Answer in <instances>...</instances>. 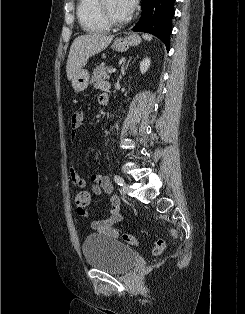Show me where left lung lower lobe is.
Here are the masks:
<instances>
[{"mask_svg":"<svg viewBox=\"0 0 245 314\" xmlns=\"http://www.w3.org/2000/svg\"><path fill=\"white\" fill-rule=\"evenodd\" d=\"M175 0H143V13L132 28L136 32H146L160 38L169 50V36L172 32Z\"/></svg>","mask_w":245,"mask_h":314,"instance_id":"obj_1","label":"left lung lower lobe"}]
</instances>
